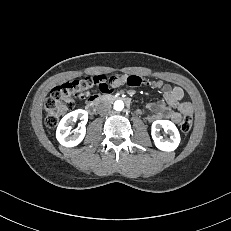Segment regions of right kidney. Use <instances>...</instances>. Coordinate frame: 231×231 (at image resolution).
I'll return each mask as SVG.
<instances>
[{
  "label": "right kidney",
  "mask_w": 231,
  "mask_h": 231,
  "mask_svg": "<svg viewBox=\"0 0 231 231\" xmlns=\"http://www.w3.org/2000/svg\"><path fill=\"white\" fill-rule=\"evenodd\" d=\"M77 119H80L81 122L79 123V130H75L74 134L71 135L70 129L71 124L75 122ZM88 121V113L85 110L78 109L72 111L65 115L56 131V138L59 143L65 147H74L77 146L85 137L86 128L85 125Z\"/></svg>",
  "instance_id": "ca27d5eb"
}]
</instances>
